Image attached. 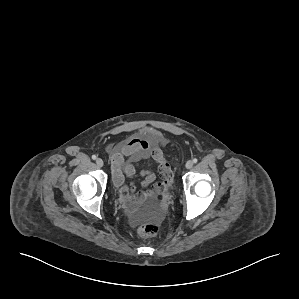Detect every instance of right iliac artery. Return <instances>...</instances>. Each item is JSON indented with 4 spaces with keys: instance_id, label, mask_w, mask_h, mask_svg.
Here are the masks:
<instances>
[{
    "instance_id": "right-iliac-artery-1",
    "label": "right iliac artery",
    "mask_w": 299,
    "mask_h": 299,
    "mask_svg": "<svg viewBox=\"0 0 299 299\" xmlns=\"http://www.w3.org/2000/svg\"><path fill=\"white\" fill-rule=\"evenodd\" d=\"M97 158L96 155H92V159L95 160Z\"/></svg>"
}]
</instances>
